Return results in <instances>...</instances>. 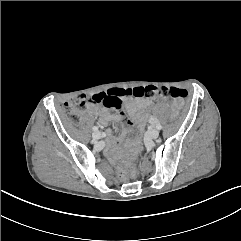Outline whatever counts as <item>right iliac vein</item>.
I'll use <instances>...</instances> for the list:
<instances>
[{
    "mask_svg": "<svg viewBox=\"0 0 241 241\" xmlns=\"http://www.w3.org/2000/svg\"><path fill=\"white\" fill-rule=\"evenodd\" d=\"M92 137L94 139H100L101 138V133L99 131H95L93 134H92Z\"/></svg>",
    "mask_w": 241,
    "mask_h": 241,
    "instance_id": "1",
    "label": "right iliac vein"
}]
</instances>
